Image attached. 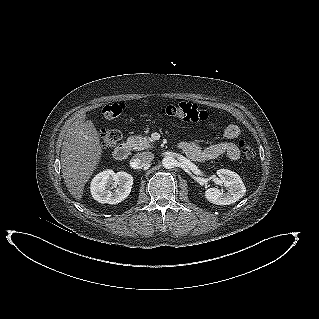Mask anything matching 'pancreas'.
Returning <instances> with one entry per match:
<instances>
[{"label": "pancreas", "instance_id": "cf45deb5", "mask_svg": "<svg viewBox=\"0 0 319 319\" xmlns=\"http://www.w3.org/2000/svg\"><path fill=\"white\" fill-rule=\"evenodd\" d=\"M152 139L150 137H143L141 135L131 136L128 138V143L135 151H140L148 148H152Z\"/></svg>", "mask_w": 319, "mask_h": 319}]
</instances>
